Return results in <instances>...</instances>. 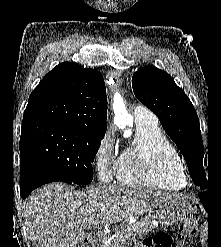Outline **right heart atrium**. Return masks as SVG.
I'll list each match as a JSON object with an SVG mask.
<instances>
[{"mask_svg":"<svg viewBox=\"0 0 221 247\" xmlns=\"http://www.w3.org/2000/svg\"><path fill=\"white\" fill-rule=\"evenodd\" d=\"M95 166L99 179L109 182L115 172V155L113 140L110 132H107L100 140L95 152Z\"/></svg>","mask_w":221,"mask_h":247,"instance_id":"1","label":"right heart atrium"}]
</instances>
